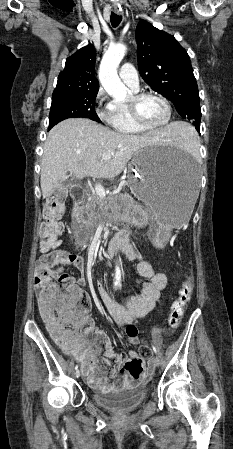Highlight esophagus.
Listing matches in <instances>:
<instances>
[{"mask_svg": "<svg viewBox=\"0 0 233 449\" xmlns=\"http://www.w3.org/2000/svg\"><path fill=\"white\" fill-rule=\"evenodd\" d=\"M114 12L117 14V15H122V10L120 9V8H118V7H114Z\"/></svg>", "mask_w": 233, "mask_h": 449, "instance_id": "esophagus-1", "label": "esophagus"}]
</instances>
